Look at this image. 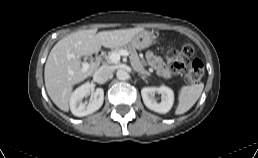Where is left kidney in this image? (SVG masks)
<instances>
[{
	"label": "left kidney",
	"mask_w": 258,
	"mask_h": 158,
	"mask_svg": "<svg viewBox=\"0 0 258 158\" xmlns=\"http://www.w3.org/2000/svg\"><path fill=\"white\" fill-rule=\"evenodd\" d=\"M156 93L161 95L160 102H157L155 98ZM141 95L145 106L157 113H167L174 104L173 90L164 85L160 87H144L141 90Z\"/></svg>",
	"instance_id": "left-kidney-1"
}]
</instances>
